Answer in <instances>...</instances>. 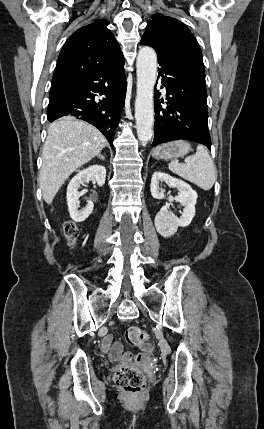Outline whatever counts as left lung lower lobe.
I'll return each mask as SVG.
<instances>
[{"label":"left lung lower lobe","instance_id":"1","mask_svg":"<svg viewBox=\"0 0 264 429\" xmlns=\"http://www.w3.org/2000/svg\"><path fill=\"white\" fill-rule=\"evenodd\" d=\"M140 44L149 45L156 50L160 66L158 71L162 76L161 84L167 90L168 106L165 108L160 105V94L156 91L154 93L155 124L152 146L185 139L203 143L211 150L205 81L196 76L182 61L159 50L147 39L142 38Z\"/></svg>","mask_w":264,"mask_h":429}]
</instances>
